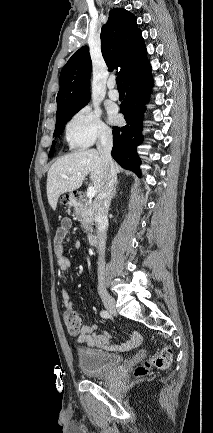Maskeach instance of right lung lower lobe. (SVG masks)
Wrapping results in <instances>:
<instances>
[{"label": "right lung lower lobe", "instance_id": "1", "mask_svg": "<svg viewBox=\"0 0 213 433\" xmlns=\"http://www.w3.org/2000/svg\"><path fill=\"white\" fill-rule=\"evenodd\" d=\"M152 85L151 66L147 60L124 82L127 94L121 103V112L127 124L121 128L113 127L112 157L121 167L138 175L141 172L136 149L143 141L142 117Z\"/></svg>", "mask_w": 213, "mask_h": 433}]
</instances>
